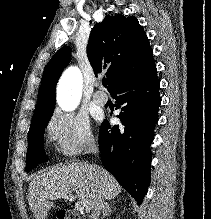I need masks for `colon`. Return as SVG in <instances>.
Returning a JSON list of instances; mask_svg holds the SVG:
<instances>
[{
    "label": "colon",
    "mask_w": 211,
    "mask_h": 219,
    "mask_svg": "<svg viewBox=\"0 0 211 219\" xmlns=\"http://www.w3.org/2000/svg\"><path fill=\"white\" fill-rule=\"evenodd\" d=\"M67 217H68V214L65 211H61L58 214L59 219H67Z\"/></svg>",
    "instance_id": "colon-1"
}]
</instances>
